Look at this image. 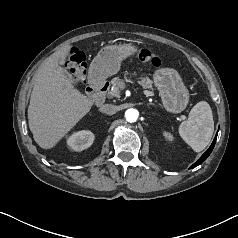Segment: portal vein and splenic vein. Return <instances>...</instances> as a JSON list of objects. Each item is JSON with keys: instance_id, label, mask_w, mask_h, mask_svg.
<instances>
[{"instance_id": "portal-vein-and-splenic-vein-1", "label": "portal vein and splenic vein", "mask_w": 238, "mask_h": 238, "mask_svg": "<svg viewBox=\"0 0 238 238\" xmlns=\"http://www.w3.org/2000/svg\"><path fill=\"white\" fill-rule=\"evenodd\" d=\"M143 94L146 95L147 97L154 95L151 91H148V90H144V91H143ZM183 118H185V117L183 116Z\"/></svg>"}]
</instances>
